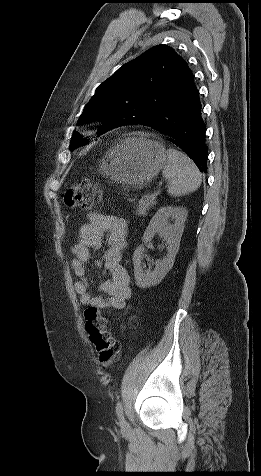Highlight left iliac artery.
Segmentation results:
<instances>
[{
    "instance_id": "1",
    "label": "left iliac artery",
    "mask_w": 261,
    "mask_h": 476,
    "mask_svg": "<svg viewBox=\"0 0 261 476\" xmlns=\"http://www.w3.org/2000/svg\"><path fill=\"white\" fill-rule=\"evenodd\" d=\"M116 413H117L120 420H124L123 406H122L121 402H118L117 405H116Z\"/></svg>"
}]
</instances>
